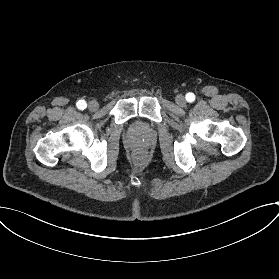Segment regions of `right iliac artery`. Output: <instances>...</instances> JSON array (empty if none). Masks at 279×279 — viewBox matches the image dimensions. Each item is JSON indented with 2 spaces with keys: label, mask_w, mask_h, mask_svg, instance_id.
<instances>
[{
  "label": "right iliac artery",
  "mask_w": 279,
  "mask_h": 279,
  "mask_svg": "<svg viewBox=\"0 0 279 279\" xmlns=\"http://www.w3.org/2000/svg\"><path fill=\"white\" fill-rule=\"evenodd\" d=\"M78 109H81V110H84L86 107H87V104L84 100H79L77 103H76Z\"/></svg>",
  "instance_id": "1"
}]
</instances>
